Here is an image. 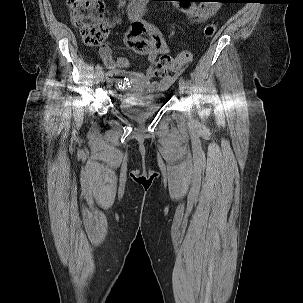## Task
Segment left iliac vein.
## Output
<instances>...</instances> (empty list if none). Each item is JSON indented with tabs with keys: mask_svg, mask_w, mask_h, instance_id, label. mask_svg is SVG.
Masks as SVG:
<instances>
[{
	"mask_svg": "<svg viewBox=\"0 0 303 303\" xmlns=\"http://www.w3.org/2000/svg\"><path fill=\"white\" fill-rule=\"evenodd\" d=\"M179 92H180V94L186 93L185 81L183 79H181L179 82Z\"/></svg>",
	"mask_w": 303,
	"mask_h": 303,
	"instance_id": "obj_1",
	"label": "left iliac vein"
}]
</instances>
